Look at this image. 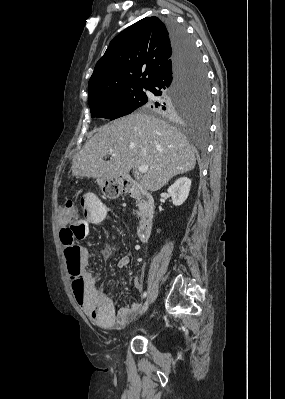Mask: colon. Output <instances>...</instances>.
<instances>
[{"label":"colon","instance_id":"1","mask_svg":"<svg viewBox=\"0 0 285 399\" xmlns=\"http://www.w3.org/2000/svg\"><path fill=\"white\" fill-rule=\"evenodd\" d=\"M105 194L109 195V190H105ZM79 210L80 205H76L72 201H67L62 204L59 211V219L65 222V224L60 228V240L64 247V255L71 266V289L77 293H81L84 290V282L79 271L80 255L76 245L80 238Z\"/></svg>","mask_w":285,"mask_h":399}]
</instances>
